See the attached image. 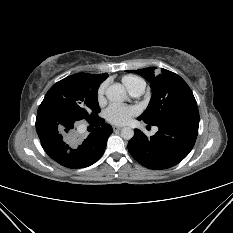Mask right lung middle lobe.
I'll list each match as a JSON object with an SVG mask.
<instances>
[{"label":"right lung middle lobe","instance_id":"obj_1","mask_svg":"<svg viewBox=\"0 0 233 233\" xmlns=\"http://www.w3.org/2000/svg\"><path fill=\"white\" fill-rule=\"evenodd\" d=\"M99 84L86 73H77L55 83L45 95L37 115L52 114L58 121H90L100 112Z\"/></svg>","mask_w":233,"mask_h":233}]
</instances>
